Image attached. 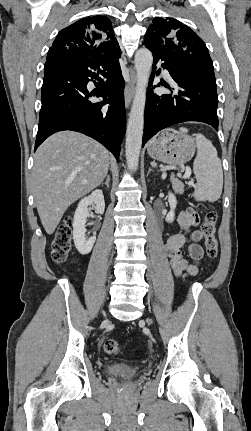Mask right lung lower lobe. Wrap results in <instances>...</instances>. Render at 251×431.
<instances>
[{"label": "right lung lower lobe", "instance_id": "right-lung-lower-lobe-1", "mask_svg": "<svg viewBox=\"0 0 251 431\" xmlns=\"http://www.w3.org/2000/svg\"><path fill=\"white\" fill-rule=\"evenodd\" d=\"M94 71L107 79L106 84ZM93 79L99 81H94L100 87L98 92L87 90V83ZM92 96L102 97L103 101L91 102ZM41 102L35 150L50 135L72 130L99 141L119 159L126 128L124 79L119 62L106 66L63 52L55 55L44 66Z\"/></svg>", "mask_w": 251, "mask_h": 431}]
</instances>
